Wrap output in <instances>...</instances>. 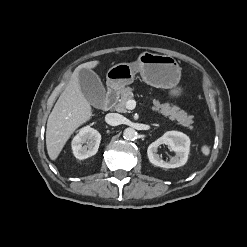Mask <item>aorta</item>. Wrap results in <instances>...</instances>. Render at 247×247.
Wrapping results in <instances>:
<instances>
[{"instance_id": "aorta-1", "label": "aorta", "mask_w": 247, "mask_h": 247, "mask_svg": "<svg viewBox=\"0 0 247 247\" xmlns=\"http://www.w3.org/2000/svg\"><path fill=\"white\" fill-rule=\"evenodd\" d=\"M137 136V132L133 128H126L123 132V137L126 140H134Z\"/></svg>"}]
</instances>
